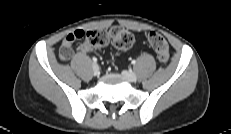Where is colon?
<instances>
[{"mask_svg":"<svg viewBox=\"0 0 231 134\" xmlns=\"http://www.w3.org/2000/svg\"><path fill=\"white\" fill-rule=\"evenodd\" d=\"M74 36L77 39L84 37L85 44L90 49H98L111 42L116 48L127 50L134 42L133 35L122 26H114L109 31L101 29L86 32L83 30H76ZM148 42L156 52L158 60L161 63H167L170 54L169 46L165 38L157 32H151L148 35Z\"/></svg>","mask_w":231,"mask_h":134,"instance_id":"obj_1","label":"colon"}]
</instances>
